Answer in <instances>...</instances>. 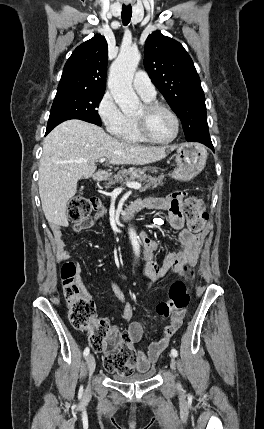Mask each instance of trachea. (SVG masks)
I'll use <instances>...</instances> for the list:
<instances>
[{
    "mask_svg": "<svg viewBox=\"0 0 264 429\" xmlns=\"http://www.w3.org/2000/svg\"><path fill=\"white\" fill-rule=\"evenodd\" d=\"M131 16H132L131 5H127V6L123 5V7H122V22L125 26L130 22Z\"/></svg>",
    "mask_w": 264,
    "mask_h": 429,
    "instance_id": "1",
    "label": "trachea"
}]
</instances>
